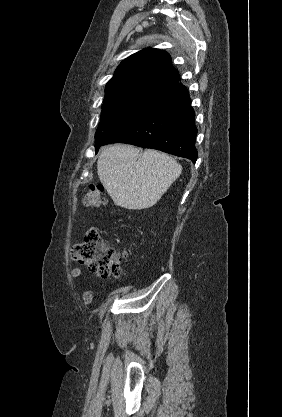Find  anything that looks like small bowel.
Segmentation results:
<instances>
[{"label": "small bowel", "mask_w": 282, "mask_h": 417, "mask_svg": "<svg viewBox=\"0 0 282 417\" xmlns=\"http://www.w3.org/2000/svg\"><path fill=\"white\" fill-rule=\"evenodd\" d=\"M83 270L79 267H74L70 270V276L77 279L83 276ZM96 291L94 289H87L82 295V302L84 305H90L95 299Z\"/></svg>", "instance_id": "obj_1"}]
</instances>
